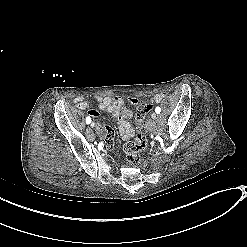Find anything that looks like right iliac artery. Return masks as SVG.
Segmentation results:
<instances>
[{
  "mask_svg": "<svg viewBox=\"0 0 247 247\" xmlns=\"http://www.w3.org/2000/svg\"><path fill=\"white\" fill-rule=\"evenodd\" d=\"M90 122H91V118L88 116V117L86 118V123L89 124Z\"/></svg>",
  "mask_w": 247,
  "mask_h": 247,
  "instance_id": "82829eb1",
  "label": "right iliac artery"
}]
</instances>
